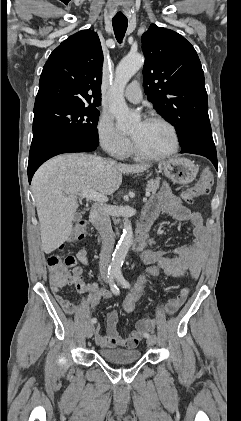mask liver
<instances>
[{
	"instance_id": "obj_1",
	"label": "liver",
	"mask_w": 241,
	"mask_h": 421,
	"mask_svg": "<svg viewBox=\"0 0 241 421\" xmlns=\"http://www.w3.org/2000/svg\"><path fill=\"white\" fill-rule=\"evenodd\" d=\"M148 168V164L110 163L85 153L59 155L45 162L31 184L43 251L49 254L68 239L81 192L93 190L111 195L120 187L122 174Z\"/></svg>"
}]
</instances>
